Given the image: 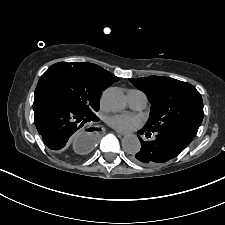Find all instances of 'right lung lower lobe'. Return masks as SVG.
Masks as SVG:
<instances>
[{"mask_svg": "<svg viewBox=\"0 0 225 225\" xmlns=\"http://www.w3.org/2000/svg\"><path fill=\"white\" fill-rule=\"evenodd\" d=\"M34 122L43 142L51 150L63 152L71 138L85 123L99 121L82 113L68 101L44 87H36L34 95ZM98 130L89 128L88 131ZM88 145L95 142L93 133L86 134Z\"/></svg>", "mask_w": 225, "mask_h": 225, "instance_id": "obj_1", "label": "right lung lower lobe"}]
</instances>
